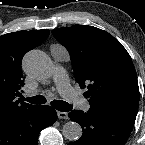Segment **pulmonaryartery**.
Here are the masks:
<instances>
[{
  "mask_svg": "<svg viewBox=\"0 0 145 145\" xmlns=\"http://www.w3.org/2000/svg\"><path fill=\"white\" fill-rule=\"evenodd\" d=\"M53 80L56 83L58 92L71 103L79 106L83 111L90 109V103L82 98L80 94L71 86L65 69L61 65H56L53 71ZM36 94L35 91L28 90L25 96L30 97Z\"/></svg>",
  "mask_w": 145,
  "mask_h": 145,
  "instance_id": "obj_1",
  "label": "pulmonary artery"
}]
</instances>
